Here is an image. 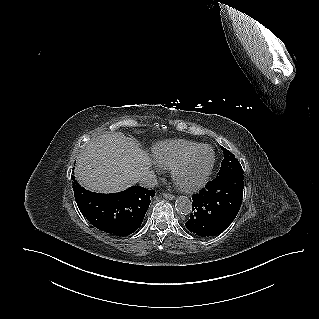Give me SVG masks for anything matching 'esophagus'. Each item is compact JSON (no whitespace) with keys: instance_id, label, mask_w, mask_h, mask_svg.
Segmentation results:
<instances>
[{"instance_id":"34e87169","label":"esophagus","mask_w":319,"mask_h":319,"mask_svg":"<svg viewBox=\"0 0 319 319\" xmlns=\"http://www.w3.org/2000/svg\"><path fill=\"white\" fill-rule=\"evenodd\" d=\"M163 197H164L165 199H168V200H173V199H175V196L172 195V194H169V193H163Z\"/></svg>"}]
</instances>
